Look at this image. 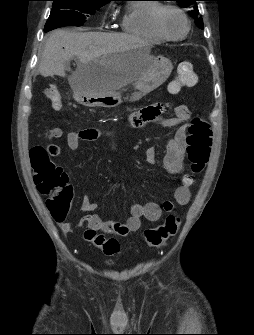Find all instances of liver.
Segmentation results:
<instances>
[{"label": "liver", "instance_id": "6515ba94", "mask_svg": "<svg viewBox=\"0 0 254 335\" xmlns=\"http://www.w3.org/2000/svg\"><path fill=\"white\" fill-rule=\"evenodd\" d=\"M139 46H142L141 40L127 34L57 29L48 35L39 73L44 77H65L69 61L76 58L77 69L69 77L73 90L78 85L92 83L105 92L116 91L143 75L149 69L150 61L143 59L131 64L117 65L100 73H94L87 65Z\"/></svg>", "mask_w": 254, "mask_h": 335}]
</instances>
